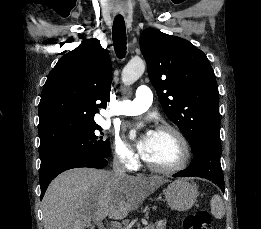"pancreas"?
<instances>
[{
    "mask_svg": "<svg viewBox=\"0 0 261 229\" xmlns=\"http://www.w3.org/2000/svg\"><path fill=\"white\" fill-rule=\"evenodd\" d=\"M151 229H166V223L165 221H157Z\"/></svg>",
    "mask_w": 261,
    "mask_h": 229,
    "instance_id": "1",
    "label": "pancreas"
}]
</instances>
